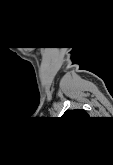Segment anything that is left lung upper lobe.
Segmentation results:
<instances>
[{
	"label": "left lung upper lobe",
	"instance_id": "1",
	"mask_svg": "<svg viewBox=\"0 0 113 165\" xmlns=\"http://www.w3.org/2000/svg\"><path fill=\"white\" fill-rule=\"evenodd\" d=\"M64 115H66V116H77V115L81 116V115H85L86 116L87 113L84 110L80 109V110L67 111V112L64 113Z\"/></svg>",
	"mask_w": 113,
	"mask_h": 165
}]
</instances>
